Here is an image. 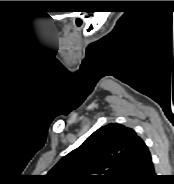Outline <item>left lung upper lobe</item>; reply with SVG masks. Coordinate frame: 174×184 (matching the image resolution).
I'll return each instance as SVG.
<instances>
[{
    "label": "left lung upper lobe",
    "instance_id": "left-lung-upper-lobe-1",
    "mask_svg": "<svg viewBox=\"0 0 174 184\" xmlns=\"http://www.w3.org/2000/svg\"><path fill=\"white\" fill-rule=\"evenodd\" d=\"M142 139L117 123L92 133L48 173L55 184H121Z\"/></svg>",
    "mask_w": 174,
    "mask_h": 184
}]
</instances>
